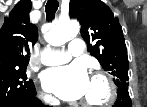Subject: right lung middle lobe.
I'll return each mask as SVG.
<instances>
[{
	"mask_svg": "<svg viewBox=\"0 0 147 107\" xmlns=\"http://www.w3.org/2000/svg\"><path fill=\"white\" fill-rule=\"evenodd\" d=\"M35 93L32 80H27L26 66L0 72V107L16 98Z\"/></svg>",
	"mask_w": 147,
	"mask_h": 107,
	"instance_id": "obj_1",
	"label": "right lung middle lobe"
}]
</instances>
